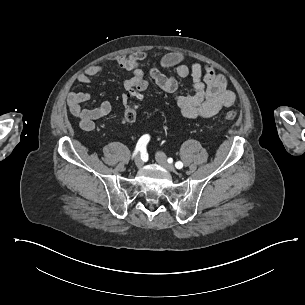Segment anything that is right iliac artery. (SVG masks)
Segmentation results:
<instances>
[{"instance_id": "1", "label": "right iliac artery", "mask_w": 305, "mask_h": 305, "mask_svg": "<svg viewBox=\"0 0 305 305\" xmlns=\"http://www.w3.org/2000/svg\"><path fill=\"white\" fill-rule=\"evenodd\" d=\"M149 140H150V136L148 135V134H145V135H143L140 139H139V141H138V143H137V145H136V148H135V151H134V153H133V157L140 151H143L145 148H146V145H147V143L149 142Z\"/></svg>"}]
</instances>
